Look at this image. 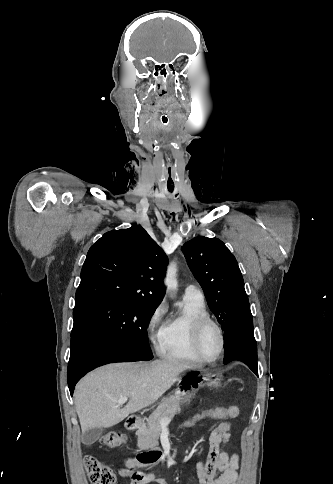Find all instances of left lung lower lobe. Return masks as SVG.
<instances>
[{
  "label": "left lung lower lobe",
  "mask_w": 333,
  "mask_h": 484,
  "mask_svg": "<svg viewBox=\"0 0 333 484\" xmlns=\"http://www.w3.org/2000/svg\"><path fill=\"white\" fill-rule=\"evenodd\" d=\"M240 360L258 375L257 346L253 334V320L251 312L239 317L234 323L224 344V363Z\"/></svg>",
  "instance_id": "0a47b994"
}]
</instances>
